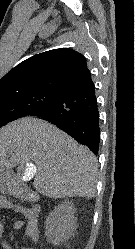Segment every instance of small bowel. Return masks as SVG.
<instances>
[{
	"instance_id": "1",
	"label": "small bowel",
	"mask_w": 135,
	"mask_h": 249,
	"mask_svg": "<svg viewBox=\"0 0 135 249\" xmlns=\"http://www.w3.org/2000/svg\"><path fill=\"white\" fill-rule=\"evenodd\" d=\"M1 209H11L15 212L20 213L24 220H18L15 223L16 229H24L25 235L33 243L38 241V210L33 206H22L16 205L10 201L5 195H0V210ZM0 244L4 249H12L11 245L6 237V228L2 221L0 220ZM22 249H33L23 247Z\"/></svg>"
}]
</instances>
